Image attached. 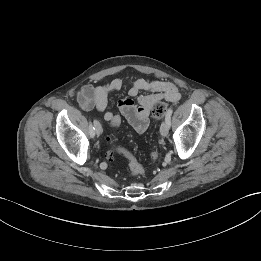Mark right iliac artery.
Returning <instances> with one entry per match:
<instances>
[{"mask_svg":"<svg viewBox=\"0 0 261 261\" xmlns=\"http://www.w3.org/2000/svg\"><path fill=\"white\" fill-rule=\"evenodd\" d=\"M96 125V120L94 121V124L92 125V122L89 123V134L91 137H94V129Z\"/></svg>","mask_w":261,"mask_h":261,"instance_id":"82829eb1","label":"right iliac artery"}]
</instances>
